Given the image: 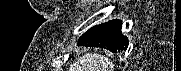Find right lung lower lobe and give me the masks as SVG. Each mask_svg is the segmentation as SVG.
Instances as JSON below:
<instances>
[{"label":"right lung lower lobe","mask_w":181,"mask_h":71,"mask_svg":"<svg viewBox=\"0 0 181 71\" xmlns=\"http://www.w3.org/2000/svg\"><path fill=\"white\" fill-rule=\"evenodd\" d=\"M121 27L120 20L94 26L79 38L78 46L101 47L112 52L126 50L129 42L122 35Z\"/></svg>","instance_id":"98d812e1"}]
</instances>
